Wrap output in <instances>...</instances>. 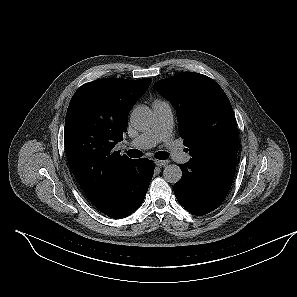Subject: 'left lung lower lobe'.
Returning <instances> with one entry per match:
<instances>
[{
	"label": "left lung lower lobe",
	"mask_w": 297,
	"mask_h": 297,
	"mask_svg": "<svg viewBox=\"0 0 297 297\" xmlns=\"http://www.w3.org/2000/svg\"><path fill=\"white\" fill-rule=\"evenodd\" d=\"M236 163L237 155L220 165L204 168H197L190 162L179 164L183 176L173 189L180 205L194 215H205L215 210L229 192Z\"/></svg>",
	"instance_id": "obj_1"
}]
</instances>
